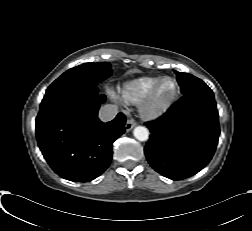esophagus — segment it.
<instances>
[{
  "instance_id": "1",
  "label": "esophagus",
  "mask_w": 252,
  "mask_h": 231,
  "mask_svg": "<svg viewBox=\"0 0 252 231\" xmlns=\"http://www.w3.org/2000/svg\"><path fill=\"white\" fill-rule=\"evenodd\" d=\"M135 126H136V121L133 118L128 119L125 124L126 132H129Z\"/></svg>"
}]
</instances>
